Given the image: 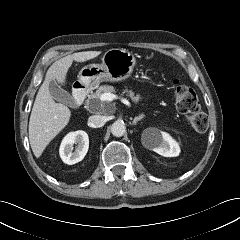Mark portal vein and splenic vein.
<instances>
[{"mask_svg":"<svg viewBox=\"0 0 240 240\" xmlns=\"http://www.w3.org/2000/svg\"><path fill=\"white\" fill-rule=\"evenodd\" d=\"M116 98H117L116 95H114L112 93H104V94L101 95L100 100L102 102H111V101H113ZM122 102L124 104H126L127 106L131 105L130 102L128 100H126V99H122Z\"/></svg>","mask_w":240,"mask_h":240,"instance_id":"18ae733b","label":"portal vein and splenic vein"}]
</instances>
